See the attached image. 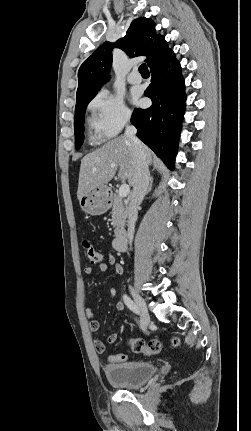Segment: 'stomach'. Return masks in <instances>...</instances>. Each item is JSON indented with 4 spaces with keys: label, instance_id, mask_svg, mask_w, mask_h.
<instances>
[{
    "label": "stomach",
    "instance_id": "0dacf381",
    "mask_svg": "<svg viewBox=\"0 0 251 431\" xmlns=\"http://www.w3.org/2000/svg\"><path fill=\"white\" fill-rule=\"evenodd\" d=\"M109 189L99 186L90 189L79 200L81 209L89 215L98 216L104 214L111 206Z\"/></svg>",
    "mask_w": 251,
    "mask_h": 431
}]
</instances>
